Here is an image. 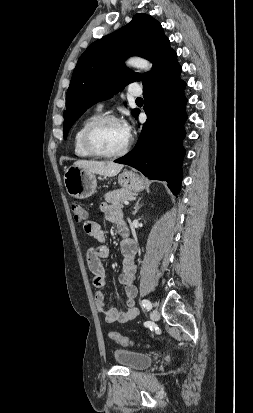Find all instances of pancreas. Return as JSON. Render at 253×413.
Here are the masks:
<instances>
[{
  "instance_id": "cf45deb5",
  "label": "pancreas",
  "mask_w": 253,
  "mask_h": 413,
  "mask_svg": "<svg viewBox=\"0 0 253 413\" xmlns=\"http://www.w3.org/2000/svg\"><path fill=\"white\" fill-rule=\"evenodd\" d=\"M133 193L124 189L113 190L104 195L105 201L120 208H123L122 202L131 199Z\"/></svg>"
}]
</instances>
